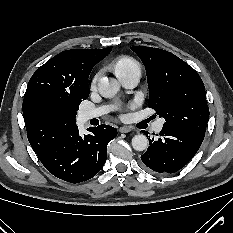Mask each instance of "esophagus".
Masks as SVG:
<instances>
[{
	"label": "esophagus",
	"instance_id": "obj_1",
	"mask_svg": "<svg viewBox=\"0 0 233 233\" xmlns=\"http://www.w3.org/2000/svg\"><path fill=\"white\" fill-rule=\"evenodd\" d=\"M131 131H132V128L130 126H121L119 128L120 133H128V132H131Z\"/></svg>",
	"mask_w": 233,
	"mask_h": 233
}]
</instances>
